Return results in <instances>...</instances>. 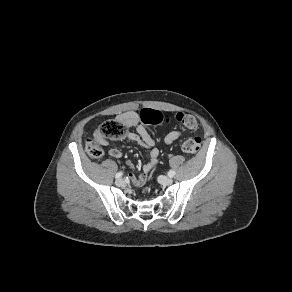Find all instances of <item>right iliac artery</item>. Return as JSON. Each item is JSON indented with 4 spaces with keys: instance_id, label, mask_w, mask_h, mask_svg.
I'll list each match as a JSON object with an SVG mask.
<instances>
[{
    "instance_id": "obj_1",
    "label": "right iliac artery",
    "mask_w": 292,
    "mask_h": 292,
    "mask_svg": "<svg viewBox=\"0 0 292 292\" xmlns=\"http://www.w3.org/2000/svg\"><path fill=\"white\" fill-rule=\"evenodd\" d=\"M122 175H123L122 172H118V173L115 175V178H116V179H119Z\"/></svg>"
}]
</instances>
